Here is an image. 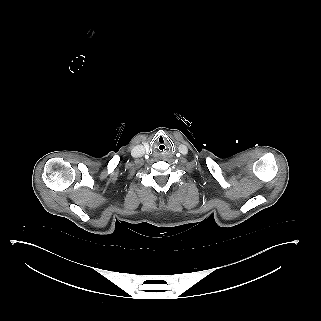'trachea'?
<instances>
[{
    "label": "trachea",
    "instance_id": "obj_1",
    "mask_svg": "<svg viewBox=\"0 0 321 321\" xmlns=\"http://www.w3.org/2000/svg\"><path fill=\"white\" fill-rule=\"evenodd\" d=\"M156 148H157V151H158V152H161V153H162V152H165V151H166V148H167V147H166V144H165V143H162V142H161V143H158V144H157V147H156Z\"/></svg>",
    "mask_w": 321,
    "mask_h": 321
}]
</instances>
